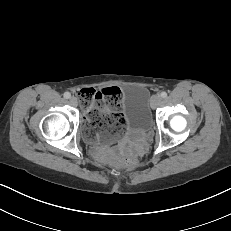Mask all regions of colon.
<instances>
[{
    "instance_id": "colon-1",
    "label": "colon",
    "mask_w": 231,
    "mask_h": 231,
    "mask_svg": "<svg viewBox=\"0 0 231 231\" xmlns=\"http://www.w3.org/2000/svg\"><path fill=\"white\" fill-rule=\"evenodd\" d=\"M81 105L88 109L89 122L105 137H114L123 132L126 120L121 112L122 92L118 87H109L101 92L84 90L79 93ZM107 107V108H105ZM115 151V148H113ZM119 165L132 167L135 162L126 156L116 158Z\"/></svg>"
}]
</instances>
